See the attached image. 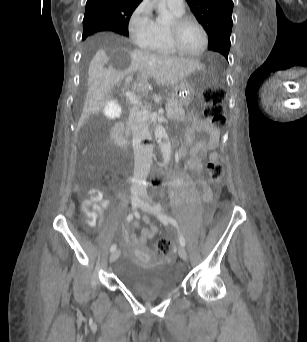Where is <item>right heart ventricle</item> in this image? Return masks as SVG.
I'll return each mask as SVG.
<instances>
[{"label":"right heart ventricle","instance_id":"obj_1","mask_svg":"<svg viewBox=\"0 0 307 342\" xmlns=\"http://www.w3.org/2000/svg\"><path fill=\"white\" fill-rule=\"evenodd\" d=\"M176 16H181V14H176ZM164 30L165 29H161L158 37H156L155 39L151 40L150 42L142 45V48L144 50L159 53V54H165V55L174 54L172 52V50L166 44L165 36H164Z\"/></svg>","mask_w":307,"mask_h":342}]
</instances>
